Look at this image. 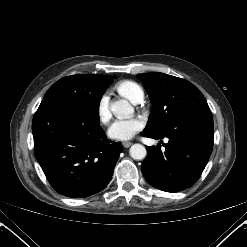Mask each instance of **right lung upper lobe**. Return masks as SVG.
Returning <instances> with one entry per match:
<instances>
[{"label": "right lung upper lobe", "mask_w": 247, "mask_h": 247, "mask_svg": "<svg viewBox=\"0 0 247 247\" xmlns=\"http://www.w3.org/2000/svg\"><path fill=\"white\" fill-rule=\"evenodd\" d=\"M99 79H103V80H111V76L108 75H96Z\"/></svg>", "instance_id": "obj_1"}]
</instances>
